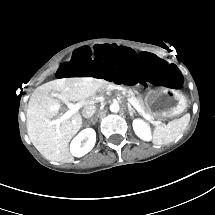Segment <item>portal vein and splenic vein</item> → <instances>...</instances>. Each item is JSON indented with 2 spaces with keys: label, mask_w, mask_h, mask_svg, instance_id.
Masks as SVG:
<instances>
[{
  "label": "portal vein and splenic vein",
  "mask_w": 215,
  "mask_h": 215,
  "mask_svg": "<svg viewBox=\"0 0 215 215\" xmlns=\"http://www.w3.org/2000/svg\"><path fill=\"white\" fill-rule=\"evenodd\" d=\"M130 104L138 111L143 113V116H145L144 112L141 111L139 105L135 102L133 99H129ZM69 110L65 112L60 118L52 120L50 123L55 124L57 127L60 126V124L66 120L69 119L74 113H76L80 109L79 104H68Z\"/></svg>",
  "instance_id": "obj_1"
}]
</instances>
